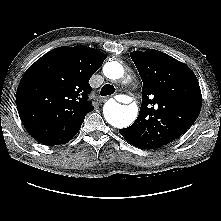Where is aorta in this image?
<instances>
[{
	"mask_svg": "<svg viewBox=\"0 0 221 221\" xmlns=\"http://www.w3.org/2000/svg\"><path fill=\"white\" fill-rule=\"evenodd\" d=\"M103 73L108 79L118 80L124 75V68L117 61L107 62L103 67ZM138 108L134 104L128 106L121 105L115 100H108L103 107L105 120L117 128L130 126L137 117Z\"/></svg>",
	"mask_w": 221,
	"mask_h": 221,
	"instance_id": "1",
	"label": "aorta"
}]
</instances>
